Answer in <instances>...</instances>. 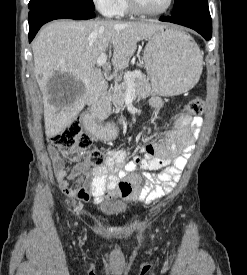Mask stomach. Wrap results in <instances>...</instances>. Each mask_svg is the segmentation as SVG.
Returning a JSON list of instances; mask_svg holds the SVG:
<instances>
[{
    "label": "stomach",
    "mask_w": 247,
    "mask_h": 275,
    "mask_svg": "<svg viewBox=\"0 0 247 275\" xmlns=\"http://www.w3.org/2000/svg\"><path fill=\"white\" fill-rule=\"evenodd\" d=\"M144 62L152 89L161 96H175L190 90L202 72V54L184 32L164 28L152 34L144 50ZM98 135L114 134L98 129Z\"/></svg>",
    "instance_id": "0dacf381"
}]
</instances>
